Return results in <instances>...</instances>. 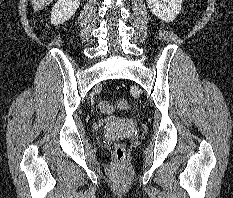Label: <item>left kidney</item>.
<instances>
[{"mask_svg": "<svg viewBox=\"0 0 233 198\" xmlns=\"http://www.w3.org/2000/svg\"><path fill=\"white\" fill-rule=\"evenodd\" d=\"M156 17L164 22L173 21L181 11L183 0H146Z\"/></svg>", "mask_w": 233, "mask_h": 198, "instance_id": "5707ae66", "label": "left kidney"}]
</instances>
